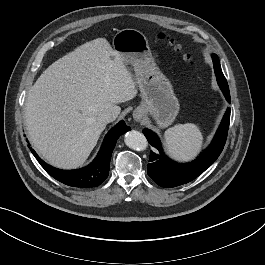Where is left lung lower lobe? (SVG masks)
Listing matches in <instances>:
<instances>
[{
	"instance_id": "left-lung-lower-lobe-1",
	"label": "left lung lower lobe",
	"mask_w": 265,
	"mask_h": 265,
	"mask_svg": "<svg viewBox=\"0 0 265 265\" xmlns=\"http://www.w3.org/2000/svg\"><path fill=\"white\" fill-rule=\"evenodd\" d=\"M213 64L218 84L230 103L229 87L226 88L220 76V63L213 60ZM229 122L230 109H227L210 146L197 160L189 164H179L164 156L157 135L149 129H144L143 133L149 143L159 151V153L153 151L150 153V163L147 165L148 175L161 187H176L192 181L204 172L222 152L227 139Z\"/></svg>"
}]
</instances>
